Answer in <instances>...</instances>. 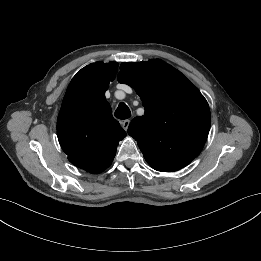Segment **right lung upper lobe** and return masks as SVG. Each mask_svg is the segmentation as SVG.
<instances>
[{"label":"right lung upper lobe","mask_w":261,"mask_h":261,"mask_svg":"<svg viewBox=\"0 0 261 261\" xmlns=\"http://www.w3.org/2000/svg\"><path fill=\"white\" fill-rule=\"evenodd\" d=\"M117 68V62L82 68L71 80L58 115L57 135L63 151L76 167L90 173L111 165L119 141L126 136L105 98Z\"/></svg>","instance_id":"cb5924a9"}]
</instances>
